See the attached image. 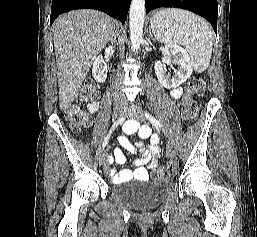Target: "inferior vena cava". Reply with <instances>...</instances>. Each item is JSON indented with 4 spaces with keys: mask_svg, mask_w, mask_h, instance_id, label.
<instances>
[{
    "mask_svg": "<svg viewBox=\"0 0 257 237\" xmlns=\"http://www.w3.org/2000/svg\"><path fill=\"white\" fill-rule=\"evenodd\" d=\"M114 101L115 102H123L126 100L125 95L120 91V89L115 88L114 89Z\"/></svg>",
    "mask_w": 257,
    "mask_h": 237,
    "instance_id": "obj_1",
    "label": "inferior vena cava"
}]
</instances>
